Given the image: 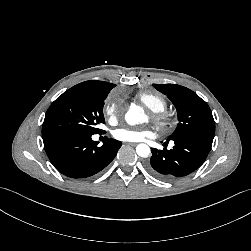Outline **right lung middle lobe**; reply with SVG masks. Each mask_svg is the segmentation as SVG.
<instances>
[{"label": "right lung middle lobe", "mask_w": 251, "mask_h": 251, "mask_svg": "<svg viewBox=\"0 0 251 251\" xmlns=\"http://www.w3.org/2000/svg\"><path fill=\"white\" fill-rule=\"evenodd\" d=\"M107 93L72 87L60 95L46 112L42 137L69 134L93 135L102 132L98 124L105 123L104 100Z\"/></svg>", "instance_id": "1"}]
</instances>
